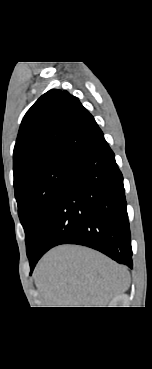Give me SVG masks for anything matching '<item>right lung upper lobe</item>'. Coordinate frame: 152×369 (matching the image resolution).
<instances>
[{
  "mask_svg": "<svg viewBox=\"0 0 152 369\" xmlns=\"http://www.w3.org/2000/svg\"><path fill=\"white\" fill-rule=\"evenodd\" d=\"M103 132L79 99L52 89L25 114L14 152V186L28 173L58 161L74 160Z\"/></svg>",
  "mask_w": 152,
  "mask_h": 369,
  "instance_id": "1",
  "label": "right lung upper lobe"
}]
</instances>
